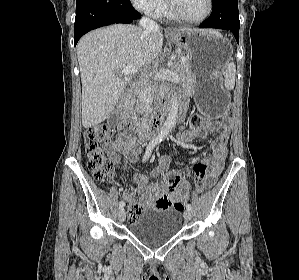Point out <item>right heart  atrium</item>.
Segmentation results:
<instances>
[{
  "instance_id": "d8ad5b80",
  "label": "right heart atrium",
  "mask_w": 299,
  "mask_h": 280,
  "mask_svg": "<svg viewBox=\"0 0 299 280\" xmlns=\"http://www.w3.org/2000/svg\"><path fill=\"white\" fill-rule=\"evenodd\" d=\"M135 8L147 14H155L164 0H130Z\"/></svg>"
}]
</instances>
